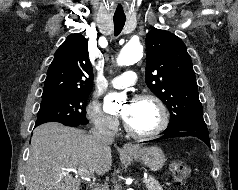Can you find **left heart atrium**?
Instances as JSON below:
<instances>
[{"label": "left heart atrium", "mask_w": 238, "mask_h": 190, "mask_svg": "<svg viewBox=\"0 0 238 190\" xmlns=\"http://www.w3.org/2000/svg\"><path fill=\"white\" fill-rule=\"evenodd\" d=\"M131 103H129V105H130ZM129 108H130V106L122 113V115H123V118L126 120V118L128 117V114H129Z\"/></svg>", "instance_id": "39dd6f15"}]
</instances>
